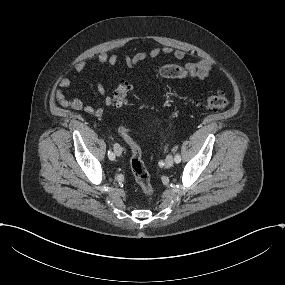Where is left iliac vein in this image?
Wrapping results in <instances>:
<instances>
[{"mask_svg":"<svg viewBox=\"0 0 285 285\" xmlns=\"http://www.w3.org/2000/svg\"><path fill=\"white\" fill-rule=\"evenodd\" d=\"M173 165V157H172V155H168L167 157H166V160H165V166L167 167V168H169V167H171Z\"/></svg>","mask_w":285,"mask_h":285,"instance_id":"4c4485c4","label":"left iliac vein"}]
</instances>
